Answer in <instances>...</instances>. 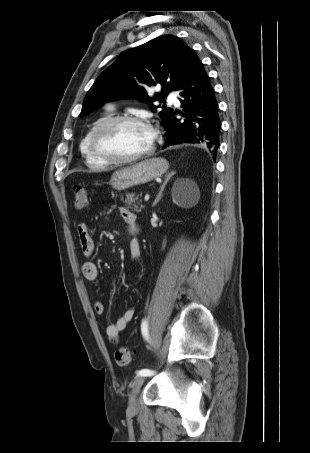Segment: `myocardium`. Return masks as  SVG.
Here are the masks:
<instances>
[{"label":"myocardium","mask_w":310,"mask_h":453,"mask_svg":"<svg viewBox=\"0 0 310 453\" xmlns=\"http://www.w3.org/2000/svg\"><path fill=\"white\" fill-rule=\"evenodd\" d=\"M123 123H133V124H139L143 125L147 128L148 127L147 123L139 116H133V115H117V116H111L105 120H103L101 123H99L95 129L93 130L91 137H90V148L92 153L101 161L107 163V164H117V165H122V164H129L136 162L142 158H145L149 155H151L154 151V142L151 141V145L144 151L137 153L133 156L130 157H124V158H119V157H114L108 153H105L101 147H100V139L103 134L106 132L110 131L112 128L119 124Z\"/></svg>","instance_id":"f54148a6"}]
</instances>
